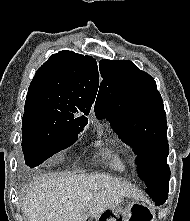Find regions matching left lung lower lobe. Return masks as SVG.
<instances>
[{"label":"left lung lower lobe","instance_id":"1","mask_svg":"<svg viewBox=\"0 0 190 221\" xmlns=\"http://www.w3.org/2000/svg\"><path fill=\"white\" fill-rule=\"evenodd\" d=\"M169 180L170 176L166 177L159 184L147 189L149 190V196L154 200L156 206L164 204L167 200Z\"/></svg>","mask_w":190,"mask_h":221}]
</instances>
